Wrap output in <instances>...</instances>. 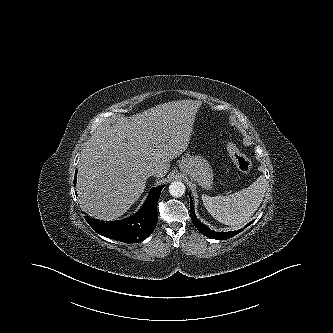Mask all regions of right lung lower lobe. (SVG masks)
Instances as JSON below:
<instances>
[{
	"label": "right lung lower lobe",
	"instance_id": "1",
	"mask_svg": "<svg viewBox=\"0 0 333 333\" xmlns=\"http://www.w3.org/2000/svg\"><path fill=\"white\" fill-rule=\"evenodd\" d=\"M76 183V179H75ZM164 186L153 188L141 210L120 221H100L85 217L98 234L125 243H137L147 238L157 225V203Z\"/></svg>",
	"mask_w": 333,
	"mask_h": 333
}]
</instances>
